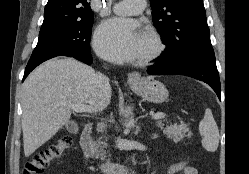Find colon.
Segmentation results:
<instances>
[{"instance_id":"colon-1","label":"colon","mask_w":249,"mask_h":174,"mask_svg":"<svg viewBox=\"0 0 249 174\" xmlns=\"http://www.w3.org/2000/svg\"><path fill=\"white\" fill-rule=\"evenodd\" d=\"M73 144L69 134L61 136L45 150L35 153L26 163L23 174H42L48 165L59 159Z\"/></svg>"}]
</instances>
